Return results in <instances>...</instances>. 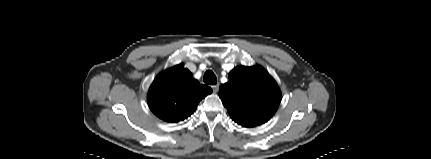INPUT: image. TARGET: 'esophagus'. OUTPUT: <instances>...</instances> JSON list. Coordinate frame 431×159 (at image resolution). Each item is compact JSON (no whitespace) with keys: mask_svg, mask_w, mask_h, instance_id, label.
<instances>
[{"mask_svg":"<svg viewBox=\"0 0 431 159\" xmlns=\"http://www.w3.org/2000/svg\"><path fill=\"white\" fill-rule=\"evenodd\" d=\"M212 90H213L214 93H217L218 90H219V84L213 85L212 86Z\"/></svg>","mask_w":431,"mask_h":159,"instance_id":"esophagus-1","label":"esophagus"}]
</instances>
